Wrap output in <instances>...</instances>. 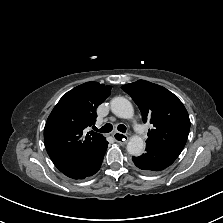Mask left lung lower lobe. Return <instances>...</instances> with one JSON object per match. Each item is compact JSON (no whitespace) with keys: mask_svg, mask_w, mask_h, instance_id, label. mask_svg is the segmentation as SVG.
<instances>
[{"mask_svg":"<svg viewBox=\"0 0 223 223\" xmlns=\"http://www.w3.org/2000/svg\"><path fill=\"white\" fill-rule=\"evenodd\" d=\"M179 154L162 146L146 144L145 153L132 160L139 171L152 174L170 166Z\"/></svg>","mask_w":223,"mask_h":223,"instance_id":"1","label":"left lung lower lobe"}]
</instances>
